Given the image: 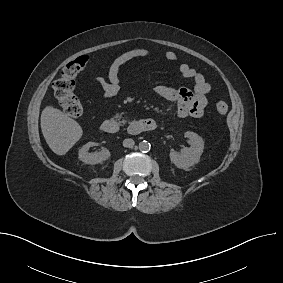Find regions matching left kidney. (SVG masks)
Wrapping results in <instances>:
<instances>
[{"label":"left kidney","instance_id":"obj_1","mask_svg":"<svg viewBox=\"0 0 283 283\" xmlns=\"http://www.w3.org/2000/svg\"><path fill=\"white\" fill-rule=\"evenodd\" d=\"M184 136L189 139L190 147L180 152H170V160L176 167L188 171L190 167L199 162L204 149V141L194 132L187 131Z\"/></svg>","mask_w":283,"mask_h":283}]
</instances>
